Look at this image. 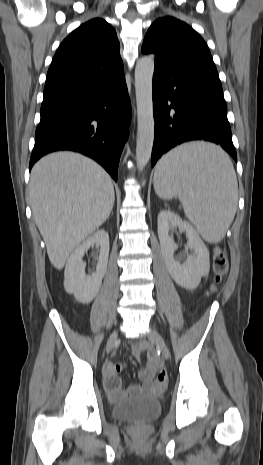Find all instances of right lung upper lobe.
Masks as SVG:
<instances>
[{
    "mask_svg": "<svg viewBox=\"0 0 263 465\" xmlns=\"http://www.w3.org/2000/svg\"><path fill=\"white\" fill-rule=\"evenodd\" d=\"M122 74L115 29L105 20L95 18L82 24L60 44L47 73L44 95L112 81Z\"/></svg>",
    "mask_w": 263,
    "mask_h": 465,
    "instance_id": "obj_1",
    "label": "right lung upper lobe"
}]
</instances>
